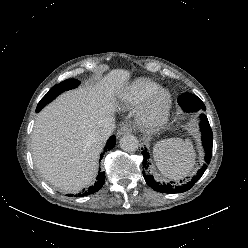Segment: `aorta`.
<instances>
[{"label":"aorta","mask_w":248,"mask_h":248,"mask_svg":"<svg viewBox=\"0 0 248 248\" xmlns=\"http://www.w3.org/2000/svg\"><path fill=\"white\" fill-rule=\"evenodd\" d=\"M120 147L126 152H134L138 149L139 142L134 135H125L119 141Z\"/></svg>","instance_id":"aorta-1"}]
</instances>
